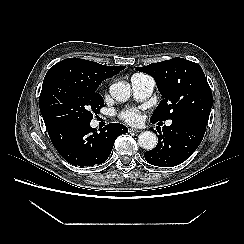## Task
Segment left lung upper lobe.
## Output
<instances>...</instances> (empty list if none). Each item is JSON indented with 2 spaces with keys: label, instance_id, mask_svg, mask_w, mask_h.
<instances>
[{
  "label": "left lung upper lobe",
  "instance_id": "left-lung-upper-lobe-1",
  "mask_svg": "<svg viewBox=\"0 0 244 244\" xmlns=\"http://www.w3.org/2000/svg\"><path fill=\"white\" fill-rule=\"evenodd\" d=\"M136 69L151 75L163 96L151 122L190 117L207 124L212 108V92L197 63L173 58Z\"/></svg>",
  "mask_w": 244,
  "mask_h": 244
}]
</instances>
